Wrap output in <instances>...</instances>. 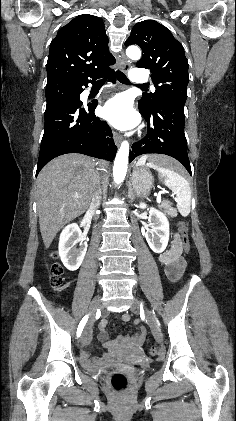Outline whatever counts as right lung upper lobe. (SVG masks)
Returning a JSON list of instances; mask_svg holds the SVG:
<instances>
[{
  "label": "right lung upper lobe",
  "instance_id": "right-lung-upper-lobe-1",
  "mask_svg": "<svg viewBox=\"0 0 236 421\" xmlns=\"http://www.w3.org/2000/svg\"><path fill=\"white\" fill-rule=\"evenodd\" d=\"M103 21L84 14L62 27L51 43L47 61V86H71L114 71Z\"/></svg>",
  "mask_w": 236,
  "mask_h": 421
}]
</instances>
